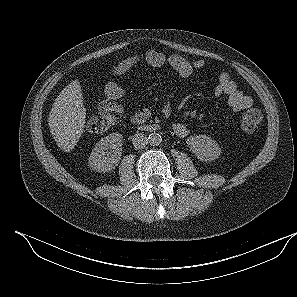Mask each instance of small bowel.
Here are the masks:
<instances>
[{
    "label": "small bowel",
    "instance_id": "obj_1",
    "mask_svg": "<svg viewBox=\"0 0 297 297\" xmlns=\"http://www.w3.org/2000/svg\"><path fill=\"white\" fill-rule=\"evenodd\" d=\"M144 61L152 67H166L176 73L181 78L191 76L195 71L200 70L206 66V61L203 59L188 61L177 54H166L160 50L152 49L147 51L143 56ZM138 61L137 56H130L119 62L115 68L114 73L120 75L129 70ZM104 93L106 100L99 106L100 110H111L122 117H126L123 107L118 104V101L123 99L127 91L124 87L110 81L105 85ZM215 96H226L229 108L234 112L243 111L252 106V99L250 96L242 93L230 75L222 72L218 77V84L214 91ZM151 116V112L147 108H143L135 112L129 117L133 123H142L147 121ZM173 130L177 136L184 138L189 135L188 127L180 122L173 124Z\"/></svg>",
    "mask_w": 297,
    "mask_h": 297
}]
</instances>
